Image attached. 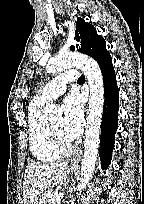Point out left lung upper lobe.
Listing matches in <instances>:
<instances>
[{
	"mask_svg": "<svg viewBox=\"0 0 144 204\" xmlns=\"http://www.w3.org/2000/svg\"><path fill=\"white\" fill-rule=\"evenodd\" d=\"M74 40L71 50L87 54L98 63L108 56L111 57L103 37L97 34L96 28L80 17L77 19Z\"/></svg>",
	"mask_w": 144,
	"mask_h": 204,
	"instance_id": "obj_1",
	"label": "left lung upper lobe"
}]
</instances>
